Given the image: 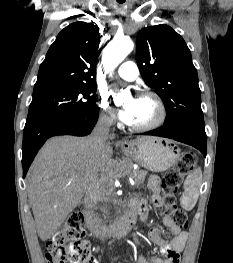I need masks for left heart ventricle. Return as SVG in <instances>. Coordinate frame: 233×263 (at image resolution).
<instances>
[{"label":"left heart ventricle","instance_id":"obj_1","mask_svg":"<svg viewBox=\"0 0 233 263\" xmlns=\"http://www.w3.org/2000/svg\"><path fill=\"white\" fill-rule=\"evenodd\" d=\"M158 109L153 100L149 98H138L136 100V114L132 125H144L153 121Z\"/></svg>","mask_w":233,"mask_h":263}]
</instances>
